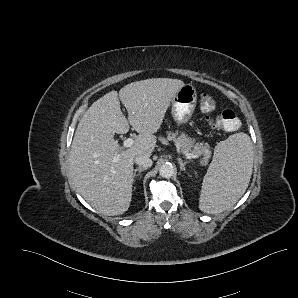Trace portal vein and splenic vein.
Masks as SVG:
<instances>
[{
  "mask_svg": "<svg viewBox=\"0 0 298 298\" xmlns=\"http://www.w3.org/2000/svg\"><path fill=\"white\" fill-rule=\"evenodd\" d=\"M134 143V140L132 138H127L126 140H124L123 142V146L125 148H129L133 145ZM185 156L188 158V159H196V158H199L198 155L194 154V153H190V152H185L184 153ZM118 161V157H116L113 162H117Z\"/></svg>",
  "mask_w": 298,
  "mask_h": 298,
  "instance_id": "18ae733b",
  "label": "portal vein and splenic vein"
}]
</instances>
